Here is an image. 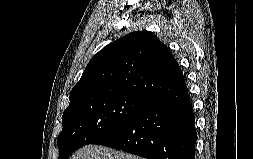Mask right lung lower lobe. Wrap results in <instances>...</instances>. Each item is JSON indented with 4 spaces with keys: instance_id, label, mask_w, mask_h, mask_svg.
<instances>
[{
    "instance_id": "obj_1",
    "label": "right lung lower lobe",
    "mask_w": 253,
    "mask_h": 159,
    "mask_svg": "<svg viewBox=\"0 0 253 159\" xmlns=\"http://www.w3.org/2000/svg\"><path fill=\"white\" fill-rule=\"evenodd\" d=\"M195 116L186 84L152 101L92 144L148 159H195Z\"/></svg>"
}]
</instances>
